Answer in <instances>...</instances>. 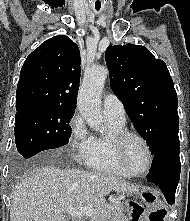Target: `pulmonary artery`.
Returning <instances> with one entry per match:
<instances>
[{
  "mask_svg": "<svg viewBox=\"0 0 190 221\" xmlns=\"http://www.w3.org/2000/svg\"><path fill=\"white\" fill-rule=\"evenodd\" d=\"M103 113L108 119L124 123L126 112L121 100L114 94H106L103 98Z\"/></svg>",
  "mask_w": 190,
  "mask_h": 221,
  "instance_id": "e3ab8cb5",
  "label": "pulmonary artery"
}]
</instances>
